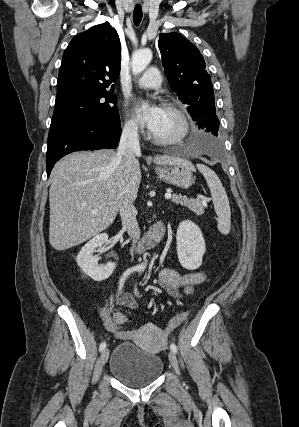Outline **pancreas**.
Here are the masks:
<instances>
[{"label":"pancreas","mask_w":299,"mask_h":427,"mask_svg":"<svg viewBox=\"0 0 299 427\" xmlns=\"http://www.w3.org/2000/svg\"><path fill=\"white\" fill-rule=\"evenodd\" d=\"M172 202L188 207L196 215H202L204 213L205 204L200 199H189L181 194H173Z\"/></svg>","instance_id":"obj_1"}]
</instances>
